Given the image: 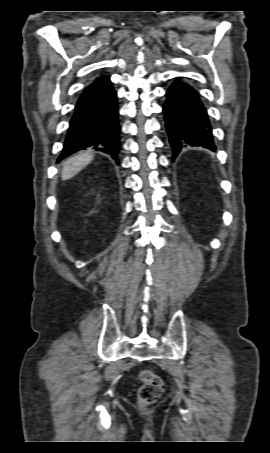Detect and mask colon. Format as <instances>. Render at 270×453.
<instances>
[{"instance_id": "5ec220e1", "label": "colon", "mask_w": 270, "mask_h": 453, "mask_svg": "<svg viewBox=\"0 0 270 453\" xmlns=\"http://www.w3.org/2000/svg\"><path fill=\"white\" fill-rule=\"evenodd\" d=\"M141 386L138 390V403L145 408L154 404L164 391L163 380L151 370L144 369L139 373Z\"/></svg>"}]
</instances>
